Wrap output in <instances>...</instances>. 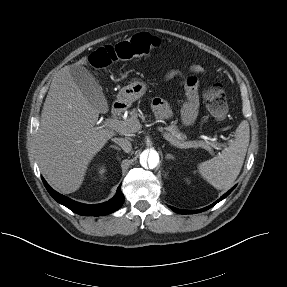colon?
<instances>
[{
    "label": "colon",
    "mask_w": 287,
    "mask_h": 287,
    "mask_svg": "<svg viewBox=\"0 0 287 287\" xmlns=\"http://www.w3.org/2000/svg\"><path fill=\"white\" fill-rule=\"evenodd\" d=\"M160 46V40L149 33H139L113 45L96 50L90 58L95 68H105L115 62L148 55ZM210 113L219 120L226 118L228 104L225 92L220 84H213L204 93Z\"/></svg>",
    "instance_id": "1"
}]
</instances>
